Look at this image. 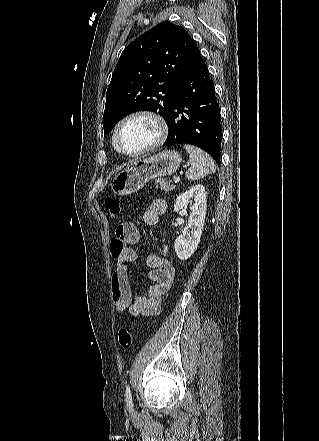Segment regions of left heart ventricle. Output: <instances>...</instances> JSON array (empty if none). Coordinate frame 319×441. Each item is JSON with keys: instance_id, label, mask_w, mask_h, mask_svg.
<instances>
[{"instance_id": "b2bd125f", "label": "left heart ventricle", "mask_w": 319, "mask_h": 441, "mask_svg": "<svg viewBox=\"0 0 319 441\" xmlns=\"http://www.w3.org/2000/svg\"><path fill=\"white\" fill-rule=\"evenodd\" d=\"M155 136L156 129L152 122L146 119H134L123 126L119 141L125 151L135 152L150 144Z\"/></svg>"}]
</instances>
